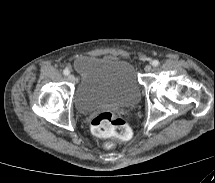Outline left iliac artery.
Returning a JSON list of instances; mask_svg holds the SVG:
<instances>
[{"label": "left iliac artery", "mask_w": 215, "mask_h": 183, "mask_svg": "<svg viewBox=\"0 0 215 183\" xmlns=\"http://www.w3.org/2000/svg\"><path fill=\"white\" fill-rule=\"evenodd\" d=\"M152 65H153L154 67L158 66V65H159V61H158V60H153V61H152Z\"/></svg>", "instance_id": "44dca946"}]
</instances>
